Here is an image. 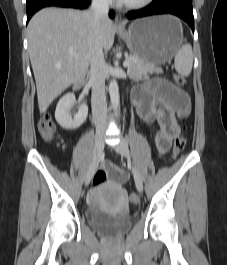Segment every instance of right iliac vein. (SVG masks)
Listing matches in <instances>:
<instances>
[{
	"mask_svg": "<svg viewBox=\"0 0 227 265\" xmlns=\"http://www.w3.org/2000/svg\"><path fill=\"white\" fill-rule=\"evenodd\" d=\"M104 138L105 136L101 134H97L95 137V145H94V152H93V157L91 161V165L88 171V174L85 179V185L88 186L90 183L97 167L100 162L103 150H104Z\"/></svg>",
	"mask_w": 227,
	"mask_h": 265,
	"instance_id": "right-iliac-vein-1",
	"label": "right iliac vein"
}]
</instances>
